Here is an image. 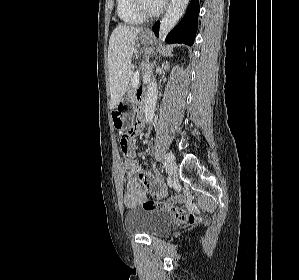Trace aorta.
Instances as JSON below:
<instances>
[{
  "label": "aorta",
  "instance_id": "1",
  "mask_svg": "<svg viewBox=\"0 0 299 280\" xmlns=\"http://www.w3.org/2000/svg\"><path fill=\"white\" fill-rule=\"evenodd\" d=\"M189 3V0H171L170 5L166 11V14L161 20L159 35L160 40L164 41L167 34L174 28L179 21L185 9ZM157 83L153 79L149 82L145 97V119L146 122H151L155 114V107L157 103Z\"/></svg>",
  "mask_w": 299,
  "mask_h": 280
}]
</instances>
